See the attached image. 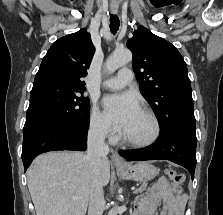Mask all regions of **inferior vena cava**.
I'll list each match as a JSON object with an SVG mask.
<instances>
[{
    "label": "inferior vena cava",
    "instance_id": "inferior-vena-cava-1",
    "mask_svg": "<svg viewBox=\"0 0 223 215\" xmlns=\"http://www.w3.org/2000/svg\"><path fill=\"white\" fill-rule=\"evenodd\" d=\"M87 159L92 175L91 193L89 195L88 215H102L105 199L103 185L100 179L102 163L109 153V145L105 143V131L100 127H91L88 133Z\"/></svg>",
    "mask_w": 223,
    "mask_h": 215
}]
</instances>
